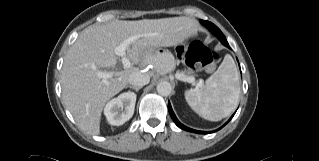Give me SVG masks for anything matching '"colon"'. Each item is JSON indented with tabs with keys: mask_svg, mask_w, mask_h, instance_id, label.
<instances>
[{
	"mask_svg": "<svg viewBox=\"0 0 319 161\" xmlns=\"http://www.w3.org/2000/svg\"><path fill=\"white\" fill-rule=\"evenodd\" d=\"M179 59L191 70L202 68L212 69L218 58V54L207 49L197 39H191L177 48Z\"/></svg>",
	"mask_w": 319,
	"mask_h": 161,
	"instance_id": "obj_1",
	"label": "colon"
}]
</instances>
